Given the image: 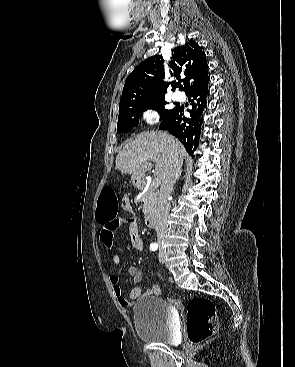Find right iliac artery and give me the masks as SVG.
I'll list each match as a JSON object with an SVG mask.
<instances>
[{"label":"right iliac artery","mask_w":295,"mask_h":367,"mask_svg":"<svg viewBox=\"0 0 295 367\" xmlns=\"http://www.w3.org/2000/svg\"><path fill=\"white\" fill-rule=\"evenodd\" d=\"M157 248H158V246H157L156 244H152V245L150 246V250H151V251H156V250H157Z\"/></svg>","instance_id":"1"}]
</instances>
